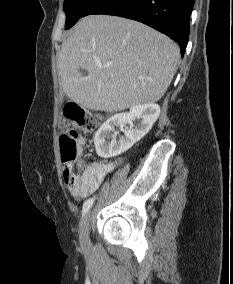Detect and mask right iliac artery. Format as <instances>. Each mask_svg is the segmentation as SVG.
<instances>
[{"label":"right iliac artery","instance_id":"1","mask_svg":"<svg viewBox=\"0 0 233 284\" xmlns=\"http://www.w3.org/2000/svg\"><path fill=\"white\" fill-rule=\"evenodd\" d=\"M93 203H94V198H89L87 201H85L82 208L83 215L92 207Z\"/></svg>","mask_w":233,"mask_h":284}]
</instances>
